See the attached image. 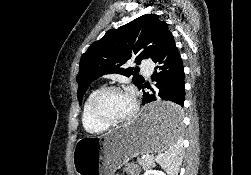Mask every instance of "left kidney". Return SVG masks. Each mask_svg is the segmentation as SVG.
<instances>
[{
  "label": "left kidney",
  "mask_w": 251,
  "mask_h": 175,
  "mask_svg": "<svg viewBox=\"0 0 251 175\" xmlns=\"http://www.w3.org/2000/svg\"><path fill=\"white\" fill-rule=\"evenodd\" d=\"M143 175H166L164 171H159V169H146Z\"/></svg>",
  "instance_id": "5707ae66"
}]
</instances>
